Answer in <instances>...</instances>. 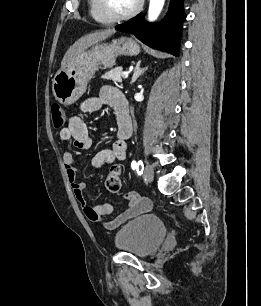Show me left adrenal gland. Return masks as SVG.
Returning <instances> with one entry per match:
<instances>
[{
    "mask_svg": "<svg viewBox=\"0 0 261 306\" xmlns=\"http://www.w3.org/2000/svg\"><path fill=\"white\" fill-rule=\"evenodd\" d=\"M140 64H141V61H138L134 69L133 77H132L130 84H133L147 70L148 67L141 69Z\"/></svg>",
    "mask_w": 261,
    "mask_h": 306,
    "instance_id": "a2214340",
    "label": "left adrenal gland"
}]
</instances>
